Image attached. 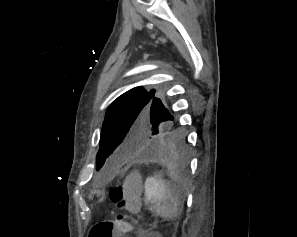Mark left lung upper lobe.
<instances>
[{"mask_svg": "<svg viewBox=\"0 0 297 237\" xmlns=\"http://www.w3.org/2000/svg\"><path fill=\"white\" fill-rule=\"evenodd\" d=\"M160 91L135 87L119 96L108 108L96 156L99 170L107 157L115 161L145 157L173 117L163 105Z\"/></svg>", "mask_w": 297, "mask_h": 237, "instance_id": "5c2ea615", "label": "left lung upper lobe"}]
</instances>
